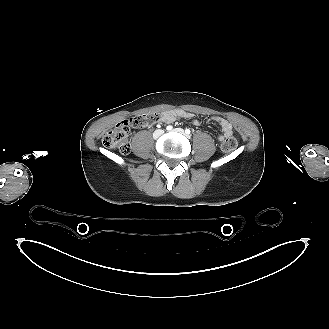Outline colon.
Instances as JSON below:
<instances>
[{"instance_id": "1", "label": "colon", "mask_w": 329, "mask_h": 329, "mask_svg": "<svg viewBox=\"0 0 329 329\" xmlns=\"http://www.w3.org/2000/svg\"><path fill=\"white\" fill-rule=\"evenodd\" d=\"M161 121L158 113H144L125 119L116 124L112 129L102 135L103 144L111 149H116L123 154L130 151L129 133L131 129H142L152 126ZM238 145V140L234 136L224 139L221 148L224 152H232Z\"/></svg>"}]
</instances>
